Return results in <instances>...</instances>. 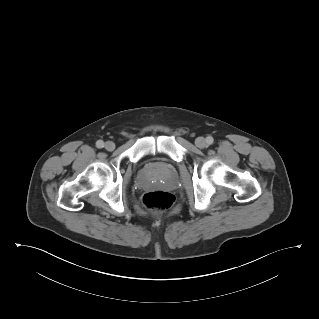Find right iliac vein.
Returning a JSON list of instances; mask_svg holds the SVG:
<instances>
[{"label":"right iliac vein","instance_id":"63e3f726","mask_svg":"<svg viewBox=\"0 0 319 319\" xmlns=\"http://www.w3.org/2000/svg\"><path fill=\"white\" fill-rule=\"evenodd\" d=\"M115 148V144L112 141H107L105 143V149L108 151H113Z\"/></svg>","mask_w":319,"mask_h":319}]
</instances>
